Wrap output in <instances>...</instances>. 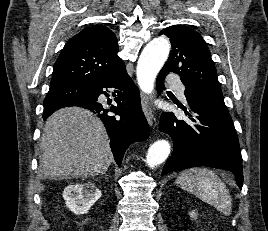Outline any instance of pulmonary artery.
<instances>
[{
    "label": "pulmonary artery",
    "instance_id": "obj_1",
    "mask_svg": "<svg viewBox=\"0 0 268 231\" xmlns=\"http://www.w3.org/2000/svg\"><path fill=\"white\" fill-rule=\"evenodd\" d=\"M174 92L183 100H185V86L181 83H171Z\"/></svg>",
    "mask_w": 268,
    "mask_h": 231
}]
</instances>
